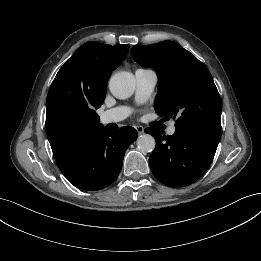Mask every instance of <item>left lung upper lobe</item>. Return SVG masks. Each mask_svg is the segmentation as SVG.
I'll use <instances>...</instances> for the list:
<instances>
[{"label":"left lung upper lobe","mask_w":261,"mask_h":261,"mask_svg":"<svg viewBox=\"0 0 261 261\" xmlns=\"http://www.w3.org/2000/svg\"><path fill=\"white\" fill-rule=\"evenodd\" d=\"M133 58L158 75L155 111L183 131L221 133V99L207 67L181 45L134 46Z\"/></svg>","instance_id":"obj_1"}]
</instances>
